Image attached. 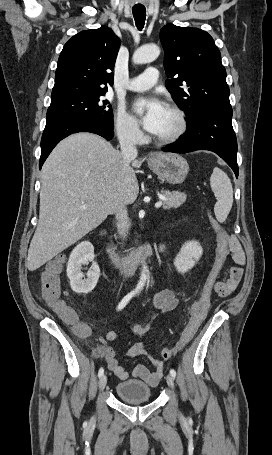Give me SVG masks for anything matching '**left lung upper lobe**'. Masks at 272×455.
Masks as SVG:
<instances>
[{"mask_svg":"<svg viewBox=\"0 0 272 455\" xmlns=\"http://www.w3.org/2000/svg\"><path fill=\"white\" fill-rule=\"evenodd\" d=\"M166 88L185 112L186 121L214 109H231L226 70L213 38L198 28L173 24L160 31Z\"/></svg>","mask_w":272,"mask_h":455,"instance_id":"5c2ea615","label":"left lung upper lobe"}]
</instances>
